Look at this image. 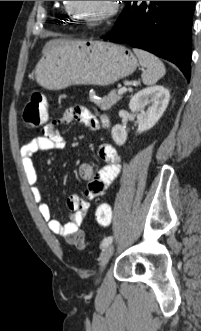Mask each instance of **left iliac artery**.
Returning a JSON list of instances; mask_svg holds the SVG:
<instances>
[{
  "label": "left iliac artery",
  "mask_w": 201,
  "mask_h": 331,
  "mask_svg": "<svg viewBox=\"0 0 201 331\" xmlns=\"http://www.w3.org/2000/svg\"><path fill=\"white\" fill-rule=\"evenodd\" d=\"M112 240H113V237H112V236H108V237H106V238L103 240V242H102V244H101V247H102V248H105L106 246H108L109 244L112 243Z\"/></svg>",
  "instance_id": "left-iliac-artery-1"
}]
</instances>
